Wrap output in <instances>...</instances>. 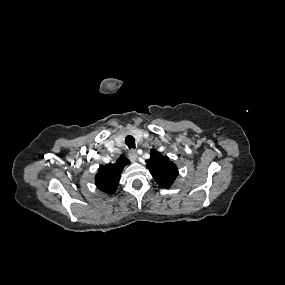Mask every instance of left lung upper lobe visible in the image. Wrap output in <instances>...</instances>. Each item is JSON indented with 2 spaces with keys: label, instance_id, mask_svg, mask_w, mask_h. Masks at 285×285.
Wrapping results in <instances>:
<instances>
[{
  "label": "left lung upper lobe",
  "instance_id": "1",
  "mask_svg": "<svg viewBox=\"0 0 285 285\" xmlns=\"http://www.w3.org/2000/svg\"><path fill=\"white\" fill-rule=\"evenodd\" d=\"M147 163L154 180L163 188H169L179 174L174 163L155 149H151V157Z\"/></svg>",
  "mask_w": 285,
  "mask_h": 285
}]
</instances>
